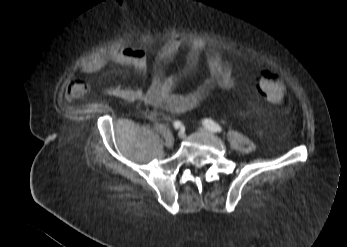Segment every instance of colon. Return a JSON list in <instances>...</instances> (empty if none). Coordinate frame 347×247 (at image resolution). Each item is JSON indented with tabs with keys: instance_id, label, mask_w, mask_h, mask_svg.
Returning a JSON list of instances; mask_svg holds the SVG:
<instances>
[{
	"instance_id": "obj_1",
	"label": "colon",
	"mask_w": 347,
	"mask_h": 247,
	"mask_svg": "<svg viewBox=\"0 0 347 247\" xmlns=\"http://www.w3.org/2000/svg\"><path fill=\"white\" fill-rule=\"evenodd\" d=\"M259 92L272 105L283 103L287 97V88L279 79L277 73L271 69H264L257 75Z\"/></svg>"
}]
</instances>
